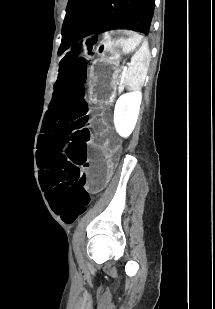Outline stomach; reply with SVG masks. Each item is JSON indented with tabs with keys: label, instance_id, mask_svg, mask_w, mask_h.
Returning <instances> with one entry per match:
<instances>
[{
	"label": "stomach",
	"instance_id": "stomach-1",
	"mask_svg": "<svg viewBox=\"0 0 215 309\" xmlns=\"http://www.w3.org/2000/svg\"><path fill=\"white\" fill-rule=\"evenodd\" d=\"M142 42V35L128 29L102 34L96 48L98 58L93 62L87 79L89 93L94 100H108L114 94L122 55L134 52Z\"/></svg>",
	"mask_w": 215,
	"mask_h": 309
}]
</instances>
